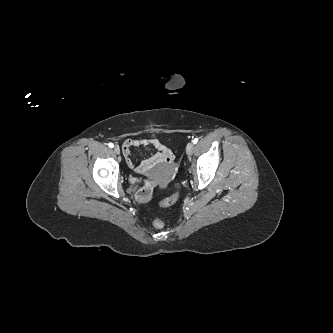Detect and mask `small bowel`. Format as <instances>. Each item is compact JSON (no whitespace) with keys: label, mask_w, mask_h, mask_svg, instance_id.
Segmentation results:
<instances>
[{"label":"small bowel","mask_w":333,"mask_h":333,"mask_svg":"<svg viewBox=\"0 0 333 333\" xmlns=\"http://www.w3.org/2000/svg\"><path fill=\"white\" fill-rule=\"evenodd\" d=\"M153 147L155 152L135 164L131 158L132 148L134 147ZM126 164L135 172L140 174H148L159 166L172 167L174 163L173 152L162 144L158 139H132L125 140L122 146ZM131 182L137 183L138 180L132 179ZM153 183H145V185L135 191V197L140 202H145L151 199L154 189Z\"/></svg>","instance_id":"small-bowel-1"}]
</instances>
